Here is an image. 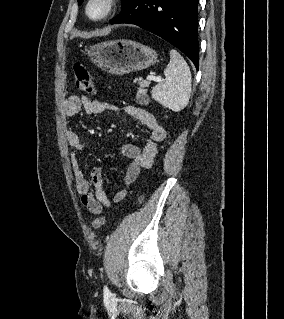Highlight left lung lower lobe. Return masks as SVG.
Here are the masks:
<instances>
[{"instance_id": "1", "label": "left lung lower lobe", "mask_w": 284, "mask_h": 319, "mask_svg": "<svg viewBox=\"0 0 284 319\" xmlns=\"http://www.w3.org/2000/svg\"><path fill=\"white\" fill-rule=\"evenodd\" d=\"M198 0H131L110 24L129 23L180 49L198 69Z\"/></svg>"}]
</instances>
